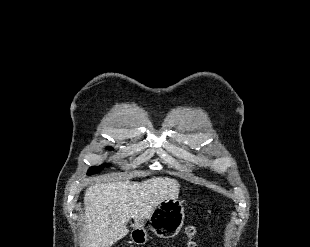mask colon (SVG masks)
I'll list each match as a JSON object with an SVG mask.
<instances>
[{
    "label": "colon",
    "instance_id": "colon-1",
    "mask_svg": "<svg viewBox=\"0 0 310 247\" xmlns=\"http://www.w3.org/2000/svg\"><path fill=\"white\" fill-rule=\"evenodd\" d=\"M186 235L188 237V242L186 244V247H196V244L194 242V237L196 235V228L194 226L187 227Z\"/></svg>",
    "mask_w": 310,
    "mask_h": 247
}]
</instances>
